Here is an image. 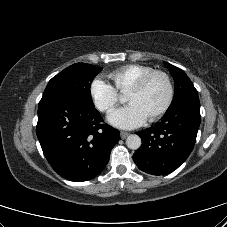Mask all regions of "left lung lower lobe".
I'll return each mask as SVG.
<instances>
[{
  "label": "left lung lower lobe",
  "mask_w": 227,
  "mask_h": 227,
  "mask_svg": "<svg viewBox=\"0 0 227 227\" xmlns=\"http://www.w3.org/2000/svg\"><path fill=\"white\" fill-rule=\"evenodd\" d=\"M200 120L198 96L174 104L160 122L137 133L142 140L140 149L133 155L137 167L152 175L176 170L194 147Z\"/></svg>",
  "instance_id": "obj_1"
}]
</instances>
